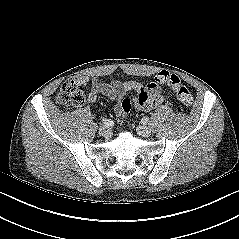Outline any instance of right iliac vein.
Listing matches in <instances>:
<instances>
[{
    "mask_svg": "<svg viewBox=\"0 0 239 239\" xmlns=\"http://www.w3.org/2000/svg\"><path fill=\"white\" fill-rule=\"evenodd\" d=\"M99 134L103 137H109L111 135V131L108 127L102 126L99 128Z\"/></svg>",
    "mask_w": 239,
    "mask_h": 239,
    "instance_id": "1",
    "label": "right iliac vein"
}]
</instances>
